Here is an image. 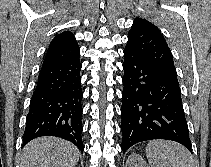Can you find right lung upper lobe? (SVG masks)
Returning <instances> with one entry per match:
<instances>
[{"label": "right lung upper lobe", "instance_id": "right-lung-upper-lobe-1", "mask_svg": "<svg viewBox=\"0 0 211 167\" xmlns=\"http://www.w3.org/2000/svg\"><path fill=\"white\" fill-rule=\"evenodd\" d=\"M79 56V46L70 31L56 35L47 50L42 67L61 63Z\"/></svg>", "mask_w": 211, "mask_h": 167}]
</instances>
